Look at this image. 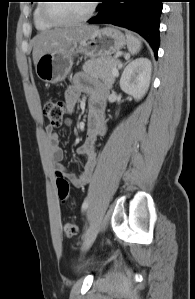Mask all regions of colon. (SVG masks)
Instances as JSON below:
<instances>
[{
    "label": "colon",
    "mask_w": 195,
    "mask_h": 299,
    "mask_svg": "<svg viewBox=\"0 0 195 299\" xmlns=\"http://www.w3.org/2000/svg\"><path fill=\"white\" fill-rule=\"evenodd\" d=\"M66 104L61 100L49 99L43 104V114L53 126H59L62 123L65 114ZM57 194L62 203H65L69 197V183L67 179L58 174L56 179ZM64 233L67 236H73L77 233V226L68 222L64 225Z\"/></svg>",
    "instance_id": "colon-1"
}]
</instances>
